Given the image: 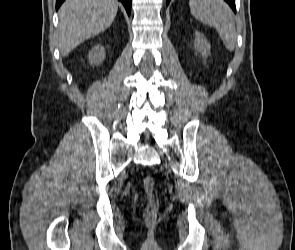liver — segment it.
I'll return each mask as SVG.
<instances>
[{
	"label": "liver",
	"instance_id": "6515ba94",
	"mask_svg": "<svg viewBox=\"0 0 295 250\" xmlns=\"http://www.w3.org/2000/svg\"><path fill=\"white\" fill-rule=\"evenodd\" d=\"M115 0H66L59 11V48L63 56L112 24Z\"/></svg>",
	"mask_w": 295,
	"mask_h": 250
}]
</instances>
